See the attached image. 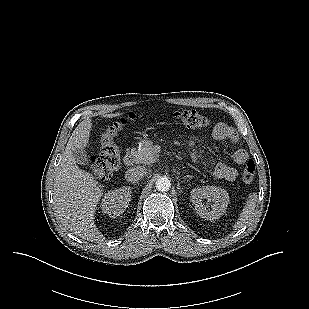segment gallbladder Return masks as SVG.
<instances>
[{
	"label": "gallbladder",
	"instance_id": "1",
	"mask_svg": "<svg viewBox=\"0 0 309 309\" xmlns=\"http://www.w3.org/2000/svg\"><path fill=\"white\" fill-rule=\"evenodd\" d=\"M72 154L77 164L82 166H86L89 164L87 152L84 149L82 148L75 149L72 151Z\"/></svg>",
	"mask_w": 309,
	"mask_h": 309
}]
</instances>
